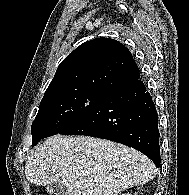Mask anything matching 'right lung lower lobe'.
Returning <instances> with one entry per match:
<instances>
[{"label":"right lung lower lobe","instance_id":"98d812e1","mask_svg":"<svg viewBox=\"0 0 189 195\" xmlns=\"http://www.w3.org/2000/svg\"><path fill=\"white\" fill-rule=\"evenodd\" d=\"M61 134L119 142L144 153L160 167L158 114L139 78L110 92L82 120Z\"/></svg>","mask_w":189,"mask_h":195}]
</instances>
